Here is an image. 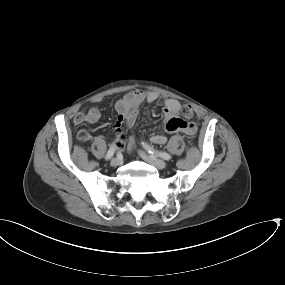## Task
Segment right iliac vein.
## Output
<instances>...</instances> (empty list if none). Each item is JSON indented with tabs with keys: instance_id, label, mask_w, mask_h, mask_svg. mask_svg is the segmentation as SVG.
Here are the masks:
<instances>
[{
	"instance_id": "right-iliac-vein-1",
	"label": "right iliac vein",
	"mask_w": 285,
	"mask_h": 285,
	"mask_svg": "<svg viewBox=\"0 0 285 285\" xmlns=\"http://www.w3.org/2000/svg\"><path fill=\"white\" fill-rule=\"evenodd\" d=\"M111 166L117 167L121 164V159L120 158H113L110 162Z\"/></svg>"
}]
</instances>
